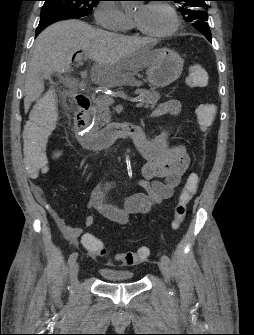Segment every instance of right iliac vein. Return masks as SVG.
<instances>
[{"label":"right iliac vein","instance_id":"obj_1","mask_svg":"<svg viewBox=\"0 0 254 335\" xmlns=\"http://www.w3.org/2000/svg\"><path fill=\"white\" fill-rule=\"evenodd\" d=\"M78 272H79V264L75 262L71 267V274H70L71 285L74 290H76L78 287V279H77Z\"/></svg>","mask_w":254,"mask_h":335}]
</instances>
